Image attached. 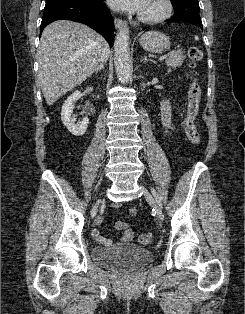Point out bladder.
<instances>
[{"label": "bladder", "instance_id": "bladder-1", "mask_svg": "<svg viewBox=\"0 0 245 314\" xmlns=\"http://www.w3.org/2000/svg\"><path fill=\"white\" fill-rule=\"evenodd\" d=\"M94 261L112 268H140L154 259L150 249L135 245L96 247L93 250Z\"/></svg>", "mask_w": 245, "mask_h": 314}]
</instances>
